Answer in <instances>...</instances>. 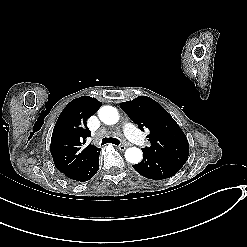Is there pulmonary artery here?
Wrapping results in <instances>:
<instances>
[{
	"instance_id": "obj_1",
	"label": "pulmonary artery",
	"mask_w": 247,
	"mask_h": 247,
	"mask_svg": "<svg viewBox=\"0 0 247 247\" xmlns=\"http://www.w3.org/2000/svg\"><path fill=\"white\" fill-rule=\"evenodd\" d=\"M134 127H135V124L133 122H130L127 120L122 122L123 131H127L133 134Z\"/></svg>"
}]
</instances>
